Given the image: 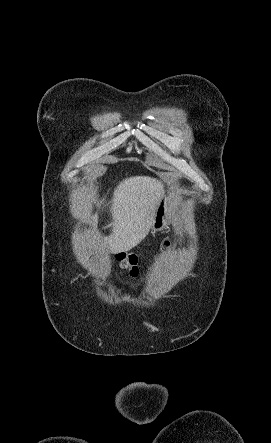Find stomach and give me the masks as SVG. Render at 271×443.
I'll return each mask as SVG.
<instances>
[{"mask_svg": "<svg viewBox=\"0 0 271 443\" xmlns=\"http://www.w3.org/2000/svg\"><path fill=\"white\" fill-rule=\"evenodd\" d=\"M171 222V204L168 196H163L159 206L155 210L154 223L152 225L153 231L164 229L168 227Z\"/></svg>", "mask_w": 271, "mask_h": 443, "instance_id": "stomach-1", "label": "stomach"}]
</instances>
